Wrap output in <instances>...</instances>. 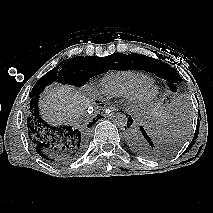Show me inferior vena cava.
I'll return each instance as SVG.
<instances>
[{"label": "inferior vena cava", "mask_w": 213, "mask_h": 213, "mask_svg": "<svg viewBox=\"0 0 213 213\" xmlns=\"http://www.w3.org/2000/svg\"><path fill=\"white\" fill-rule=\"evenodd\" d=\"M88 113L89 114H82L83 116H85V117H87V118H89V117H91L92 115H91V112L88 110Z\"/></svg>", "instance_id": "inferior-vena-cava-1"}]
</instances>
